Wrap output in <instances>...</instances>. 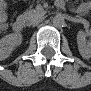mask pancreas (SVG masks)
<instances>
[{
    "label": "pancreas",
    "instance_id": "1",
    "mask_svg": "<svg viewBox=\"0 0 91 91\" xmlns=\"http://www.w3.org/2000/svg\"><path fill=\"white\" fill-rule=\"evenodd\" d=\"M42 12L40 10H34V9H31V10H28L26 12H24L21 17L25 18L27 23H31L32 20L38 16H42L40 15Z\"/></svg>",
    "mask_w": 91,
    "mask_h": 91
}]
</instances>
